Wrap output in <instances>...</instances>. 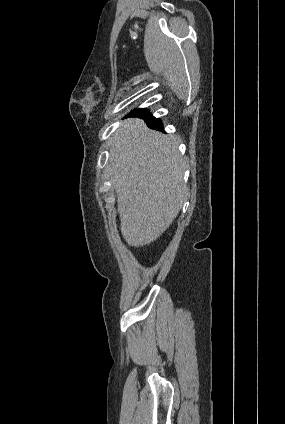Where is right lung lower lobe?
<instances>
[{
  "label": "right lung lower lobe",
  "mask_w": 285,
  "mask_h": 424,
  "mask_svg": "<svg viewBox=\"0 0 285 424\" xmlns=\"http://www.w3.org/2000/svg\"><path fill=\"white\" fill-rule=\"evenodd\" d=\"M129 115L141 116V118H143L145 120V122L147 123V126L149 128H152V129H155V130H160V131L163 130V125L161 123V120L153 117L145 109H135V110L131 111Z\"/></svg>",
  "instance_id": "1"
}]
</instances>
